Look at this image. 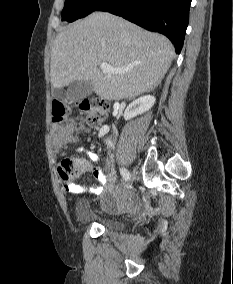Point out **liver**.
<instances>
[{
    "label": "liver",
    "instance_id": "1",
    "mask_svg": "<svg viewBox=\"0 0 233 284\" xmlns=\"http://www.w3.org/2000/svg\"><path fill=\"white\" fill-rule=\"evenodd\" d=\"M174 57L172 43L110 13L94 12L69 25L55 38L50 76L55 89L90 80L104 100L132 99L155 89ZM124 73L104 72L101 63Z\"/></svg>",
    "mask_w": 233,
    "mask_h": 284
}]
</instances>
